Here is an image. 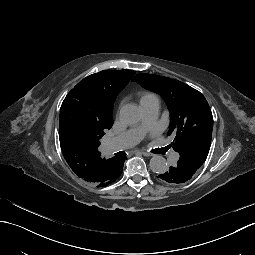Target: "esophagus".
I'll return each instance as SVG.
<instances>
[{"mask_svg": "<svg viewBox=\"0 0 255 255\" xmlns=\"http://www.w3.org/2000/svg\"><path fill=\"white\" fill-rule=\"evenodd\" d=\"M142 154L146 157H150V156H153L152 153H149V152H142Z\"/></svg>", "mask_w": 255, "mask_h": 255, "instance_id": "esophagus-1", "label": "esophagus"}]
</instances>
